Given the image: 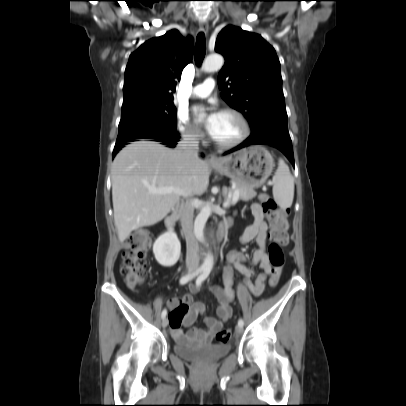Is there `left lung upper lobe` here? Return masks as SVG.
Segmentation results:
<instances>
[{"label":"left lung upper lobe","mask_w":406,"mask_h":406,"mask_svg":"<svg viewBox=\"0 0 406 406\" xmlns=\"http://www.w3.org/2000/svg\"><path fill=\"white\" fill-rule=\"evenodd\" d=\"M215 51L225 58L218 75L221 97L248 119L251 135H289L280 62L274 48L258 34L228 25L219 33Z\"/></svg>","instance_id":"left-lung-upper-lobe-1"}]
</instances>
